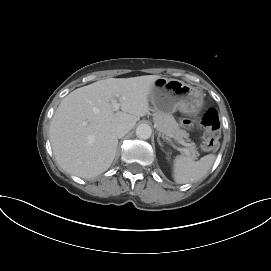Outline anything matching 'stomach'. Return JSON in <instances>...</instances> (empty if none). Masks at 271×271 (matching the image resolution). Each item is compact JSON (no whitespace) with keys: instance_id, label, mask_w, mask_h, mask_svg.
Masks as SVG:
<instances>
[{"instance_id":"stomach-1","label":"stomach","mask_w":271,"mask_h":271,"mask_svg":"<svg viewBox=\"0 0 271 271\" xmlns=\"http://www.w3.org/2000/svg\"><path fill=\"white\" fill-rule=\"evenodd\" d=\"M149 99L161 113H181L197 117L204 105L201 90L176 79L158 78L151 86Z\"/></svg>"}]
</instances>
